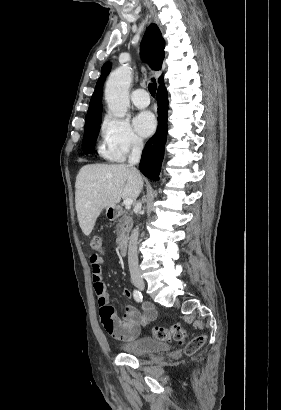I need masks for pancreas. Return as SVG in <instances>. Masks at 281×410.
I'll use <instances>...</instances> for the list:
<instances>
[{"label": "pancreas", "instance_id": "pancreas-1", "mask_svg": "<svg viewBox=\"0 0 281 410\" xmlns=\"http://www.w3.org/2000/svg\"><path fill=\"white\" fill-rule=\"evenodd\" d=\"M118 217L117 242L120 243L122 240L127 238L132 228V217L121 210L119 211Z\"/></svg>", "mask_w": 281, "mask_h": 410}]
</instances>
